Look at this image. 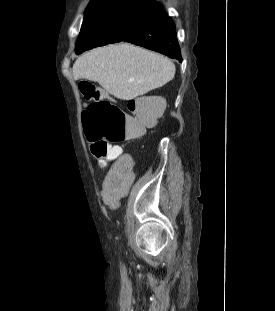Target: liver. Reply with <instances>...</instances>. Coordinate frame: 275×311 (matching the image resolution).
Returning a JSON list of instances; mask_svg holds the SVG:
<instances>
[{
  "instance_id": "6515ba94",
  "label": "liver",
  "mask_w": 275,
  "mask_h": 311,
  "mask_svg": "<svg viewBox=\"0 0 275 311\" xmlns=\"http://www.w3.org/2000/svg\"><path fill=\"white\" fill-rule=\"evenodd\" d=\"M175 71L166 57L128 43L93 49L73 65L74 79L98 82L122 100L162 87L174 78Z\"/></svg>"
}]
</instances>
